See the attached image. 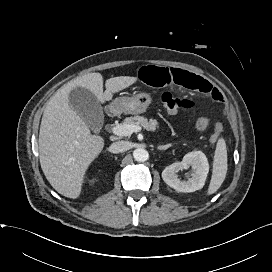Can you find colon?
Listing matches in <instances>:
<instances>
[{"instance_id":"obj_1","label":"colon","mask_w":272,"mask_h":272,"mask_svg":"<svg viewBox=\"0 0 272 272\" xmlns=\"http://www.w3.org/2000/svg\"><path fill=\"white\" fill-rule=\"evenodd\" d=\"M193 105L194 103L191 100L176 97L169 92H165L161 96V106L169 113H176L182 109H190L193 107ZM222 132V125L217 123L211 135V140L216 141L220 137Z\"/></svg>"}]
</instances>
